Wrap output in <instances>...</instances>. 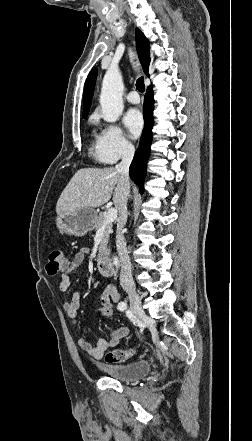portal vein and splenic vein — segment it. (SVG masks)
Listing matches in <instances>:
<instances>
[{"mask_svg": "<svg viewBox=\"0 0 252 441\" xmlns=\"http://www.w3.org/2000/svg\"><path fill=\"white\" fill-rule=\"evenodd\" d=\"M117 219V210L115 208H111L108 210L107 215L105 216L104 225L114 222Z\"/></svg>", "mask_w": 252, "mask_h": 441, "instance_id": "1", "label": "portal vein and splenic vein"}]
</instances>
